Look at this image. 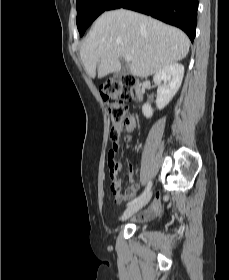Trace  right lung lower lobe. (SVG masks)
Here are the masks:
<instances>
[{
    "mask_svg": "<svg viewBox=\"0 0 229 280\" xmlns=\"http://www.w3.org/2000/svg\"><path fill=\"white\" fill-rule=\"evenodd\" d=\"M118 8L150 15L195 38L198 0H115L109 10Z\"/></svg>",
    "mask_w": 229,
    "mask_h": 280,
    "instance_id": "98d812e1",
    "label": "right lung lower lobe"
}]
</instances>
